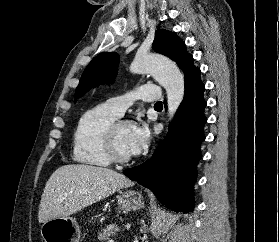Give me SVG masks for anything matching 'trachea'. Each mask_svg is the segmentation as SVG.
<instances>
[{
	"mask_svg": "<svg viewBox=\"0 0 279 242\" xmlns=\"http://www.w3.org/2000/svg\"><path fill=\"white\" fill-rule=\"evenodd\" d=\"M155 107H162V102H157L156 104H155Z\"/></svg>",
	"mask_w": 279,
	"mask_h": 242,
	"instance_id": "3493384b",
	"label": "trachea"
}]
</instances>
